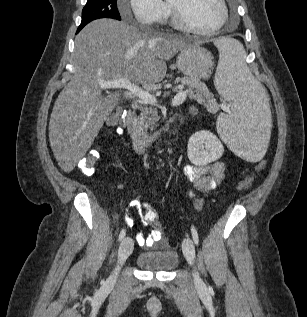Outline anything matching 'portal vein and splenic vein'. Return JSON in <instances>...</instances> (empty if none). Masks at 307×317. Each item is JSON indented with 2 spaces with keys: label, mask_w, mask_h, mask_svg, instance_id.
<instances>
[{
  "label": "portal vein and splenic vein",
  "mask_w": 307,
  "mask_h": 317,
  "mask_svg": "<svg viewBox=\"0 0 307 317\" xmlns=\"http://www.w3.org/2000/svg\"><path fill=\"white\" fill-rule=\"evenodd\" d=\"M99 86L102 89H114V88H123L127 89L130 94L135 95L142 101L149 103L151 105H155L157 103V99L154 95L149 93V91L142 89L141 87L132 84L129 80L126 79H118L111 81H99ZM187 97V90H180L172 99V106H178L182 104Z\"/></svg>",
  "instance_id": "1"
}]
</instances>
